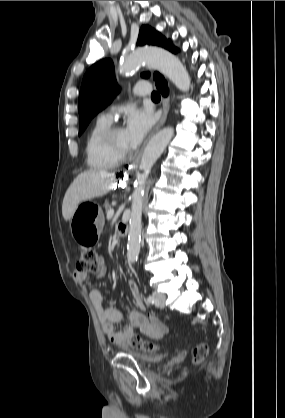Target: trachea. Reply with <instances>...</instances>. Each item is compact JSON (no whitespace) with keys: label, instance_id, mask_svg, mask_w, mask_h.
Masks as SVG:
<instances>
[{"label":"trachea","instance_id":"trachea-1","mask_svg":"<svg viewBox=\"0 0 285 418\" xmlns=\"http://www.w3.org/2000/svg\"><path fill=\"white\" fill-rule=\"evenodd\" d=\"M151 97L152 98H160V95L157 92H152Z\"/></svg>","mask_w":285,"mask_h":418}]
</instances>
